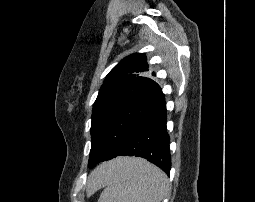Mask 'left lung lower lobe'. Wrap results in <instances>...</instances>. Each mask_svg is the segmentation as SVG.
I'll return each instance as SVG.
<instances>
[{"instance_id": "1", "label": "left lung lower lobe", "mask_w": 255, "mask_h": 202, "mask_svg": "<svg viewBox=\"0 0 255 202\" xmlns=\"http://www.w3.org/2000/svg\"><path fill=\"white\" fill-rule=\"evenodd\" d=\"M117 156L143 157L160 167L169 176L171 158L169 135L166 130L165 101L144 119ZM106 160L110 159L102 161Z\"/></svg>"}]
</instances>
